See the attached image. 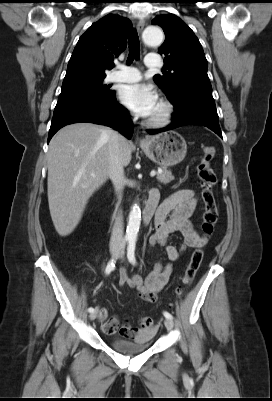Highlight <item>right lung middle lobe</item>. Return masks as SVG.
<instances>
[{"label":"right lung middle lobe","mask_w":272,"mask_h":401,"mask_svg":"<svg viewBox=\"0 0 272 401\" xmlns=\"http://www.w3.org/2000/svg\"><path fill=\"white\" fill-rule=\"evenodd\" d=\"M103 80L62 90L54 111L72 107L82 103L104 104L115 96Z\"/></svg>","instance_id":"dd1d6c3e"}]
</instances>
